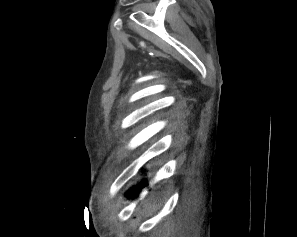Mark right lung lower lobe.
<instances>
[{
	"instance_id": "obj_1",
	"label": "right lung lower lobe",
	"mask_w": 297,
	"mask_h": 237,
	"mask_svg": "<svg viewBox=\"0 0 297 237\" xmlns=\"http://www.w3.org/2000/svg\"><path fill=\"white\" fill-rule=\"evenodd\" d=\"M145 185H147V184H146V183H143V187H144ZM138 193H139V189H137V188H133V189H131V190L126 194V196H128V197H134V196H136Z\"/></svg>"
}]
</instances>
